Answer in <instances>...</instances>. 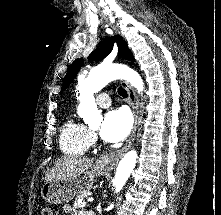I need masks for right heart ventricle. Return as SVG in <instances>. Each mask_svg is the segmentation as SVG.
<instances>
[{
	"instance_id": "obj_1",
	"label": "right heart ventricle",
	"mask_w": 221,
	"mask_h": 215,
	"mask_svg": "<svg viewBox=\"0 0 221 215\" xmlns=\"http://www.w3.org/2000/svg\"><path fill=\"white\" fill-rule=\"evenodd\" d=\"M90 130L74 119L67 120L60 134V147L69 155H82L91 146Z\"/></svg>"
}]
</instances>
